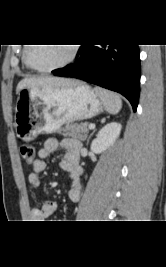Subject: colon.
I'll use <instances>...</instances> for the list:
<instances>
[{
  "label": "colon",
  "instance_id": "5ec220e1",
  "mask_svg": "<svg viewBox=\"0 0 166 267\" xmlns=\"http://www.w3.org/2000/svg\"><path fill=\"white\" fill-rule=\"evenodd\" d=\"M20 156L27 162L35 159V148L32 144H21L19 147Z\"/></svg>",
  "mask_w": 166,
  "mask_h": 267
}]
</instances>
